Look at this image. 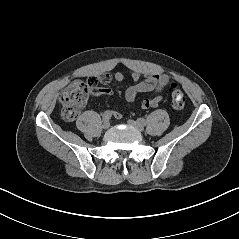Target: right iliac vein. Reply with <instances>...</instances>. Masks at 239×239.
Masks as SVG:
<instances>
[{"label":"right iliac vein","instance_id":"right-iliac-vein-1","mask_svg":"<svg viewBox=\"0 0 239 239\" xmlns=\"http://www.w3.org/2000/svg\"><path fill=\"white\" fill-rule=\"evenodd\" d=\"M102 127H103L104 129H108V128L110 127V122H109V120H105V121L103 122V124H102Z\"/></svg>","mask_w":239,"mask_h":239}]
</instances>
